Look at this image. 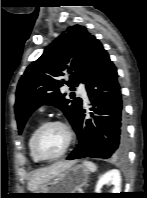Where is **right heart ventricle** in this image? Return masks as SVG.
Segmentation results:
<instances>
[{"mask_svg": "<svg viewBox=\"0 0 147 198\" xmlns=\"http://www.w3.org/2000/svg\"><path fill=\"white\" fill-rule=\"evenodd\" d=\"M40 125H41L40 123L36 124V125L31 129V131H30V133H29V136H28V150H29V155H30L31 159H32L34 162H36V163L40 162V160L34 155V153H33V151H32V137H33L35 131L38 129V127H39Z\"/></svg>", "mask_w": 147, "mask_h": 198, "instance_id": "1", "label": "right heart ventricle"}]
</instances>
